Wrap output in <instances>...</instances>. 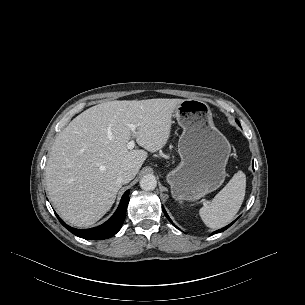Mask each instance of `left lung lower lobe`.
<instances>
[{"label": "left lung lower lobe", "instance_id": "obj_1", "mask_svg": "<svg viewBox=\"0 0 305 305\" xmlns=\"http://www.w3.org/2000/svg\"><path fill=\"white\" fill-rule=\"evenodd\" d=\"M163 212L165 213V215H166V217L170 220V218H169V216L167 215V213H166V211H165V209L163 208ZM170 222H172L171 220H170ZM235 221H233L231 224H229L228 226H226V227H224V228H222V229H220V230H217V231H215V232H213L212 234H215V233H219V232H222V231H224V230H226L229 226H231L233 223H234ZM173 224V223H172ZM174 225V224H173ZM175 226V225H174Z\"/></svg>", "mask_w": 305, "mask_h": 305}]
</instances>
